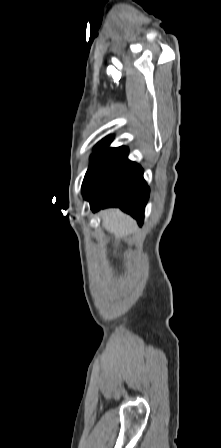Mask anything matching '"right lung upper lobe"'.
I'll return each instance as SVG.
<instances>
[{
	"instance_id": "cb5924a9",
	"label": "right lung upper lobe",
	"mask_w": 221,
	"mask_h": 448,
	"mask_svg": "<svg viewBox=\"0 0 221 448\" xmlns=\"http://www.w3.org/2000/svg\"><path fill=\"white\" fill-rule=\"evenodd\" d=\"M113 140V136H107L106 138H104L103 140H101L96 146L95 148H107L109 146V144L111 143V141ZM116 149V148H113Z\"/></svg>"
}]
</instances>
